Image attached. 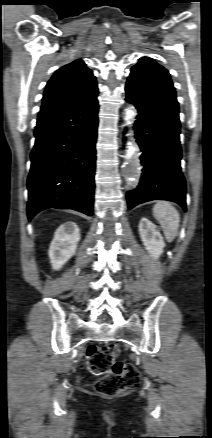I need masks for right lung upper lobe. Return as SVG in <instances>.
<instances>
[{"label": "right lung upper lobe", "mask_w": 212, "mask_h": 438, "mask_svg": "<svg viewBox=\"0 0 212 438\" xmlns=\"http://www.w3.org/2000/svg\"><path fill=\"white\" fill-rule=\"evenodd\" d=\"M98 96L96 78L82 60L54 73L45 88L41 111L68 107Z\"/></svg>", "instance_id": "1"}]
</instances>
